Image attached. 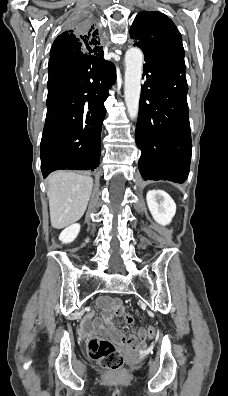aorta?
<instances>
[{
  "mask_svg": "<svg viewBox=\"0 0 228 396\" xmlns=\"http://www.w3.org/2000/svg\"><path fill=\"white\" fill-rule=\"evenodd\" d=\"M143 67V53L132 47L125 54V103L131 119L138 116L141 92V76Z\"/></svg>",
  "mask_w": 228,
  "mask_h": 396,
  "instance_id": "aorta-1",
  "label": "aorta"
}]
</instances>
